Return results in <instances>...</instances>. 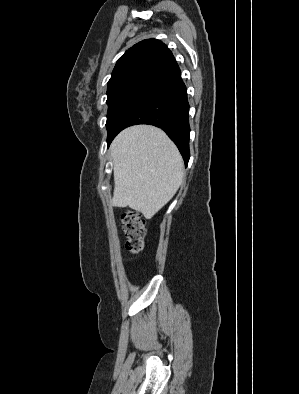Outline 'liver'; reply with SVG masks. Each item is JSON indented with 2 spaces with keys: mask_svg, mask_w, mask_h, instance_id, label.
Masks as SVG:
<instances>
[{
  "mask_svg": "<svg viewBox=\"0 0 299 394\" xmlns=\"http://www.w3.org/2000/svg\"><path fill=\"white\" fill-rule=\"evenodd\" d=\"M114 164L112 204L129 206L151 219L183 181V160L168 136L150 125L123 130L111 144Z\"/></svg>",
  "mask_w": 299,
  "mask_h": 394,
  "instance_id": "6515ba94",
  "label": "liver"
}]
</instances>
